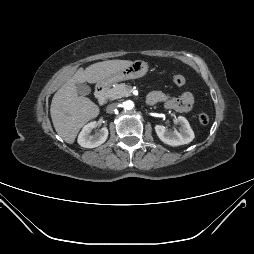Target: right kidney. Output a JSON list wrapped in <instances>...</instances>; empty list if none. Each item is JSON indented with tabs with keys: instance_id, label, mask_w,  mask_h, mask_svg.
Instances as JSON below:
<instances>
[{
	"instance_id": "right-kidney-1",
	"label": "right kidney",
	"mask_w": 254,
	"mask_h": 254,
	"mask_svg": "<svg viewBox=\"0 0 254 254\" xmlns=\"http://www.w3.org/2000/svg\"><path fill=\"white\" fill-rule=\"evenodd\" d=\"M96 121L86 124L78 136V144L84 148H95L103 144L108 137V129L102 128L94 135L91 134L92 130L97 127Z\"/></svg>"
}]
</instances>
